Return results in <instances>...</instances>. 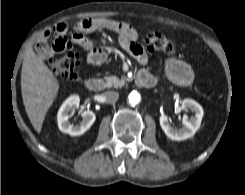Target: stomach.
<instances>
[{"label":"stomach","mask_w":245,"mask_h":195,"mask_svg":"<svg viewBox=\"0 0 245 195\" xmlns=\"http://www.w3.org/2000/svg\"><path fill=\"white\" fill-rule=\"evenodd\" d=\"M167 75L177 85H188L193 80L190 68L177 60H169L166 65Z\"/></svg>","instance_id":"0dacf381"}]
</instances>
